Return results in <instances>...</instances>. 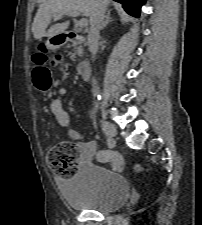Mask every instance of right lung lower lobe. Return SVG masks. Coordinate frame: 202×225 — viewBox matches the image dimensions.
<instances>
[{"label":"right lung lower lobe","instance_id":"right-lung-lower-lobe-1","mask_svg":"<svg viewBox=\"0 0 202 225\" xmlns=\"http://www.w3.org/2000/svg\"><path fill=\"white\" fill-rule=\"evenodd\" d=\"M123 4V8L134 17H139L141 6L145 3V0H114Z\"/></svg>","mask_w":202,"mask_h":225}]
</instances>
